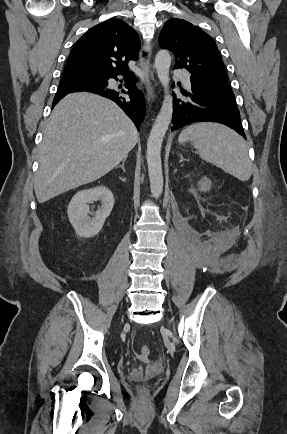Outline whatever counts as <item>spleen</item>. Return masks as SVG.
I'll return each instance as SVG.
<instances>
[{"label": "spleen", "mask_w": 287, "mask_h": 434, "mask_svg": "<svg viewBox=\"0 0 287 434\" xmlns=\"http://www.w3.org/2000/svg\"><path fill=\"white\" fill-rule=\"evenodd\" d=\"M190 141L201 159L229 173L240 181L252 175V164L245 140L229 127L212 122L188 126L179 135V142Z\"/></svg>", "instance_id": "3e777b00"}]
</instances>
